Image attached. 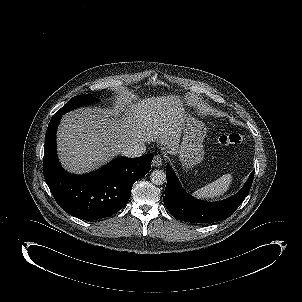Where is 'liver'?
I'll return each instance as SVG.
<instances>
[{
	"instance_id": "liver-1",
	"label": "liver",
	"mask_w": 302,
	"mask_h": 302,
	"mask_svg": "<svg viewBox=\"0 0 302 302\" xmlns=\"http://www.w3.org/2000/svg\"><path fill=\"white\" fill-rule=\"evenodd\" d=\"M185 116L178 96L118 102L113 109L79 108L62 116L57 131L61 164L71 173L93 171L134 145L156 142L178 154Z\"/></svg>"
}]
</instances>
